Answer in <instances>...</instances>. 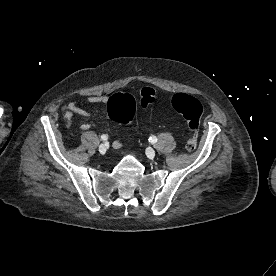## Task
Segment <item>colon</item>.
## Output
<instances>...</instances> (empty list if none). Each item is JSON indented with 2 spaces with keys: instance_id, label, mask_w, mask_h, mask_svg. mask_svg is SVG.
I'll return each instance as SVG.
<instances>
[{
  "instance_id": "obj_1",
  "label": "colon",
  "mask_w": 276,
  "mask_h": 276,
  "mask_svg": "<svg viewBox=\"0 0 276 276\" xmlns=\"http://www.w3.org/2000/svg\"><path fill=\"white\" fill-rule=\"evenodd\" d=\"M155 97L154 89L145 87L140 91L139 104L146 107L155 101ZM171 104L172 108L187 121L190 137L186 143V150L190 153L194 152L197 148L196 133L203 114V106L199 100L185 93L175 94ZM136 107L137 101L129 93L114 94L107 102V111L110 118L123 124H128L133 120Z\"/></svg>"
}]
</instances>
